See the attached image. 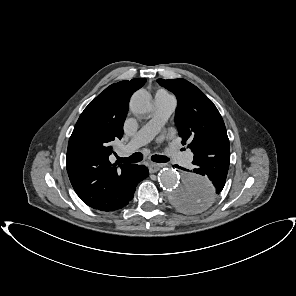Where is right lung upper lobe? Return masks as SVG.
Listing matches in <instances>:
<instances>
[{
	"label": "right lung upper lobe",
	"mask_w": 296,
	"mask_h": 296,
	"mask_svg": "<svg viewBox=\"0 0 296 296\" xmlns=\"http://www.w3.org/2000/svg\"><path fill=\"white\" fill-rule=\"evenodd\" d=\"M145 78L121 81L99 94L80 115L69 139L66 168L70 182L88 206L113 211L126 192L132 164H112L114 140L123 136V124L131 95Z\"/></svg>",
	"instance_id": "cb5924a9"
}]
</instances>
